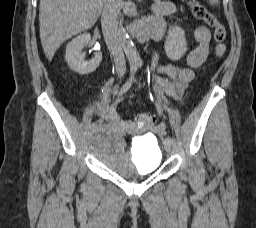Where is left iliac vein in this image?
<instances>
[{"mask_svg":"<svg viewBox=\"0 0 256 228\" xmlns=\"http://www.w3.org/2000/svg\"><path fill=\"white\" fill-rule=\"evenodd\" d=\"M163 145H164V148H165V150H166L167 152H171V150H172V142H171V141L165 139V140L163 141Z\"/></svg>","mask_w":256,"mask_h":228,"instance_id":"4c4485c4","label":"left iliac vein"}]
</instances>
